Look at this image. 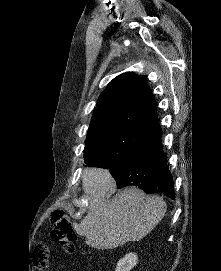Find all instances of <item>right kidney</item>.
I'll use <instances>...</instances> for the list:
<instances>
[{
  "mask_svg": "<svg viewBox=\"0 0 221 271\" xmlns=\"http://www.w3.org/2000/svg\"><path fill=\"white\" fill-rule=\"evenodd\" d=\"M138 255L137 253H134V251H129V253H126L124 257H121L119 259L115 271H130L136 263H138Z\"/></svg>",
  "mask_w": 221,
  "mask_h": 271,
  "instance_id": "obj_1",
  "label": "right kidney"
}]
</instances>
